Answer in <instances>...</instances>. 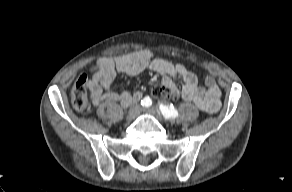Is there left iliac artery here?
<instances>
[{
  "label": "left iliac artery",
  "instance_id": "obj_1",
  "mask_svg": "<svg viewBox=\"0 0 292 192\" xmlns=\"http://www.w3.org/2000/svg\"><path fill=\"white\" fill-rule=\"evenodd\" d=\"M160 110H161V113L163 114V116L166 118V119H173V118H176L178 116V112L177 110L174 108L173 105H164V104H161L160 105Z\"/></svg>",
  "mask_w": 292,
  "mask_h": 192
}]
</instances>
